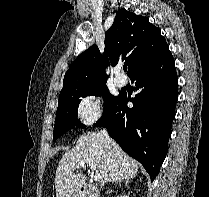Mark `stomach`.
<instances>
[{
	"instance_id": "obj_1",
	"label": "stomach",
	"mask_w": 209,
	"mask_h": 197,
	"mask_svg": "<svg viewBox=\"0 0 209 197\" xmlns=\"http://www.w3.org/2000/svg\"><path fill=\"white\" fill-rule=\"evenodd\" d=\"M71 197H79V195H77V194H73Z\"/></svg>"
}]
</instances>
